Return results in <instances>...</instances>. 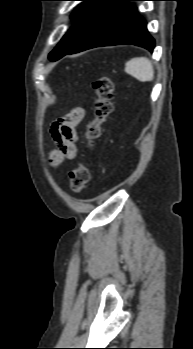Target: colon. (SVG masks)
<instances>
[{
	"label": "colon",
	"mask_w": 193,
	"mask_h": 349,
	"mask_svg": "<svg viewBox=\"0 0 193 349\" xmlns=\"http://www.w3.org/2000/svg\"><path fill=\"white\" fill-rule=\"evenodd\" d=\"M95 100L94 115L88 123L85 131V146L92 149L99 138L103 123L113 110L114 85L109 77L98 78L94 84ZM70 188L73 192L79 193L86 187L90 179V172L85 162L81 161L70 172Z\"/></svg>",
	"instance_id": "obj_1"
}]
</instances>
